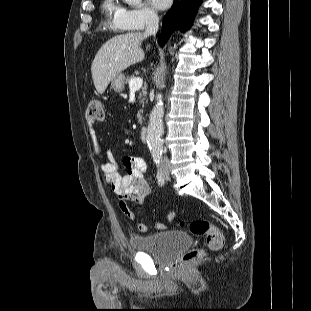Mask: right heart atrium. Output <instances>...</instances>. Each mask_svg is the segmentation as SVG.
<instances>
[{
  "label": "right heart atrium",
  "instance_id": "right-heart-atrium-1",
  "mask_svg": "<svg viewBox=\"0 0 311 311\" xmlns=\"http://www.w3.org/2000/svg\"><path fill=\"white\" fill-rule=\"evenodd\" d=\"M158 19L156 11L146 5L133 6L125 10L124 23L129 30L140 31L154 24Z\"/></svg>",
  "mask_w": 311,
  "mask_h": 311
}]
</instances>
